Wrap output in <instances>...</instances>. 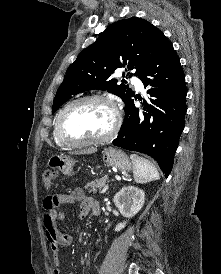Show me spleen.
<instances>
[{"mask_svg":"<svg viewBox=\"0 0 221 274\" xmlns=\"http://www.w3.org/2000/svg\"><path fill=\"white\" fill-rule=\"evenodd\" d=\"M130 158L133 164V176L136 183L144 184L160 179L159 172L152 162L137 154H132Z\"/></svg>","mask_w":221,"mask_h":274,"instance_id":"spleen-1","label":"spleen"}]
</instances>
